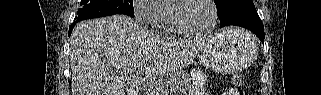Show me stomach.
I'll return each mask as SVG.
<instances>
[{"instance_id":"0dacf381","label":"stomach","mask_w":321,"mask_h":95,"mask_svg":"<svg viewBox=\"0 0 321 95\" xmlns=\"http://www.w3.org/2000/svg\"><path fill=\"white\" fill-rule=\"evenodd\" d=\"M257 52V43L250 33L226 28L206 41L199 50V58L210 70L234 73L249 66Z\"/></svg>"}]
</instances>
